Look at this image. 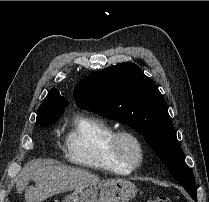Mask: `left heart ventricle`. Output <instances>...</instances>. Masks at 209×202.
Listing matches in <instances>:
<instances>
[{
	"instance_id": "left-heart-ventricle-1",
	"label": "left heart ventricle",
	"mask_w": 209,
	"mask_h": 202,
	"mask_svg": "<svg viewBox=\"0 0 209 202\" xmlns=\"http://www.w3.org/2000/svg\"><path fill=\"white\" fill-rule=\"evenodd\" d=\"M125 147L129 150V151H133L134 150V146L132 143L128 142L126 143Z\"/></svg>"
}]
</instances>
